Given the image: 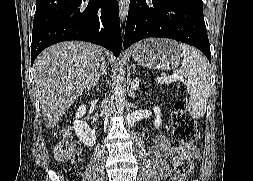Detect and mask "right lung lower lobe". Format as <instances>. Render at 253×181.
Returning a JSON list of instances; mask_svg holds the SVG:
<instances>
[{
  "instance_id": "right-lung-lower-lobe-1",
  "label": "right lung lower lobe",
  "mask_w": 253,
  "mask_h": 181,
  "mask_svg": "<svg viewBox=\"0 0 253 181\" xmlns=\"http://www.w3.org/2000/svg\"><path fill=\"white\" fill-rule=\"evenodd\" d=\"M66 40L98 44L117 57L122 47L117 0H36L31 63L46 47Z\"/></svg>"
}]
</instances>
